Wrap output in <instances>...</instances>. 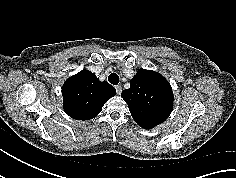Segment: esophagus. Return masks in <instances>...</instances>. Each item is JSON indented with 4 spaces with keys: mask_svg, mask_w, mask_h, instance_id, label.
<instances>
[{
    "mask_svg": "<svg viewBox=\"0 0 236 178\" xmlns=\"http://www.w3.org/2000/svg\"><path fill=\"white\" fill-rule=\"evenodd\" d=\"M115 89H116L117 94L120 95L122 92V87L120 85H117V86H115Z\"/></svg>",
    "mask_w": 236,
    "mask_h": 178,
    "instance_id": "34e87169",
    "label": "esophagus"
}]
</instances>
